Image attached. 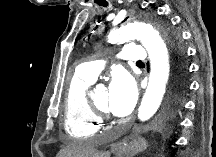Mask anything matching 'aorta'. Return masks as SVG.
Returning <instances> with one entry per match:
<instances>
[{"mask_svg":"<svg viewBox=\"0 0 216 157\" xmlns=\"http://www.w3.org/2000/svg\"><path fill=\"white\" fill-rule=\"evenodd\" d=\"M134 39L140 40L147 50L151 66L148 86L138 109V118L144 122L156 113L164 97L170 73L169 51L159 32L143 22L122 25L108 37L110 43ZM126 155L123 151L118 152V156Z\"/></svg>","mask_w":216,"mask_h":157,"instance_id":"obj_1","label":"aorta"}]
</instances>
